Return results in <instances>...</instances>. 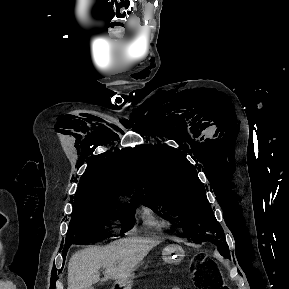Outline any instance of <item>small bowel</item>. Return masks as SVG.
Wrapping results in <instances>:
<instances>
[{"label":"small bowel","instance_id":"obj_1","mask_svg":"<svg viewBox=\"0 0 289 289\" xmlns=\"http://www.w3.org/2000/svg\"><path fill=\"white\" fill-rule=\"evenodd\" d=\"M172 289H180V288H178V287H174V288H172Z\"/></svg>","mask_w":289,"mask_h":289}]
</instances>
